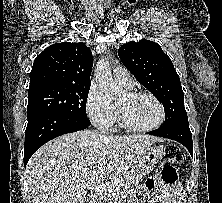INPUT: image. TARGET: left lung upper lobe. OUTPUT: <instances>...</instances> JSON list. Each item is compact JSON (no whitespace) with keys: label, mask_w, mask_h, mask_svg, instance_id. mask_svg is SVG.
I'll list each match as a JSON object with an SVG mask.
<instances>
[{"label":"left lung upper lobe","mask_w":222,"mask_h":203,"mask_svg":"<svg viewBox=\"0 0 222 203\" xmlns=\"http://www.w3.org/2000/svg\"><path fill=\"white\" fill-rule=\"evenodd\" d=\"M118 56L134 77L163 104V126L188 124L180 78L171 59L157 43L131 41L118 49Z\"/></svg>","instance_id":"left-lung-upper-lobe-1"}]
</instances>
